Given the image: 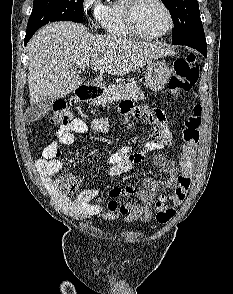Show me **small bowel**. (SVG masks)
I'll use <instances>...</instances> for the list:
<instances>
[{"instance_id":"small-bowel-1","label":"small bowel","mask_w":233,"mask_h":294,"mask_svg":"<svg viewBox=\"0 0 233 294\" xmlns=\"http://www.w3.org/2000/svg\"><path fill=\"white\" fill-rule=\"evenodd\" d=\"M120 113L125 116L132 115L136 119L145 116L142 121L150 122L153 125V131L151 139L141 150L124 146L107 157L108 172L112 176L128 172L135 164L144 161L149 152L170 147L173 142L164 112L158 108H151V103H137L136 108L130 101H123L120 104ZM90 129L104 133L109 131L110 124L107 118L94 119L90 125L82 119H74L70 124L59 128L57 140L44 148L42 158L36 162L41 175L47 180V185L52 191L56 203L64 213L76 219L100 216L109 220L122 217L126 221H149L153 215L152 204L156 194L165 189H174L178 185L179 168L162 154L153 157V164L167 174L164 180L147 177L144 179V188L142 189H137L134 186H127L124 189L114 188L109 192L112 200L106 207L96 202L99 197L98 190L83 189L74 199H70L60 193L57 185L58 180H51L63 166L59 146L73 144L75 134H85ZM122 195L135 196L139 203L127 202L124 205H119L115 198Z\"/></svg>"}]
</instances>
